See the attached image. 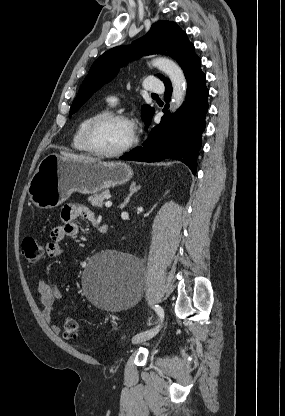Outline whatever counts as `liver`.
Segmentation results:
<instances>
[{"label": "liver", "instance_id": "6515ba94", "mask_svg": "<svg viewBox=\"0 0 285 416\" xmlns=\"http://www.w3.org/2000/svg\"><path fill=\"white\" fill-rule=\"evenodd\" d=\"M60 154L64 158H70V160H97V158H90V156H85V154H79V156H76V154H68V152H60Z\"/></svg>", "mask_w": 285, "mask_h": 416}]
</instances>
